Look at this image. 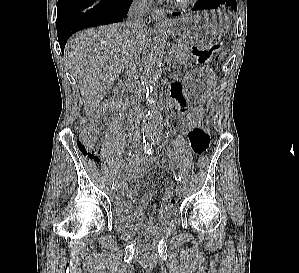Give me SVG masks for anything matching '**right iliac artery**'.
Here are the masks:
<instances>
[{"label": "right iliac artery", "instance_id": "1", "mask_svg": "<svg viewBox=\"0 0 299 273\" xmlns=\"http://www.w3.org/2000/svg\"><path fill=\"white\" fill-rule=\"evenodd\" d=\"M141 151H142V149H136L134 151H130L129 154H128V156H127V160H132V159L138 158V156L140 155ZM114 187H115V183L113 181L112 188H114Z\"/></svg>", "mask_w": 299, "mask_h": 273}]
</instances>
